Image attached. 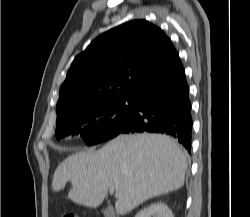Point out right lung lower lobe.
Returning <instances> with one entry per match:
<instances>
[{
  "mask_svg": "<svg viewBox=\"0 0 250 217\" xmlns=\"http://www.w3.org/2000/svg\"><path fill=\"white\" fill-rule=\"evenodd\" d=\"M132 101V118L120 133L168 134L191 153V103L180 59L166 74L135 94Z\"/></svg>",
  "mask_w": 250,
  "mask_h": 217,
  "instance_id": "right-lung-lower-lobe-1",
  "label": "right lung lower lobe"
}]
</instances>
